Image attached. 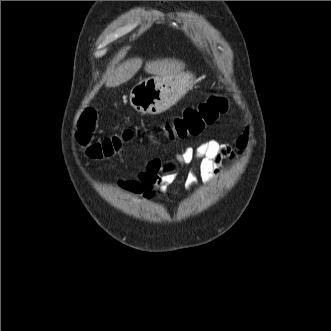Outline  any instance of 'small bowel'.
Listing matches in <instances>:
<instances>
[{"instance_id":"small-bowel-1","label":"small bowel","mask_w":331,"mask_h":331,"mask_svg":"<svg viewBox=\"0 0 331 331\" xmlns=\"http://www.w3.org/2000/svg\"><path fill=\"white\" fill-rule=\"evenodd\" d=\"M249 143V131L239 136L236 146L220 144L215 140L205 141L195 148L185 147L169 162L160 159L149 160L133 179H120L118 184L131 194L144 199H153L158 193L164 194L177 178L176 166H189L185 184L193 189L198 180L210 184L223 174L222 161L236 162Z\"/></svg>"}]
</instances>
